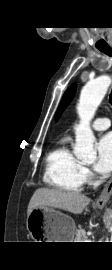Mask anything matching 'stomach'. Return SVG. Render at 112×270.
Masks as SVG:
<instances>
[{"mask_svg":"<svg viewBox=\"0 0 112 270\" xmlns=\"http://www.w3.org/2000/svg\"><path fill=\"white\" fill-rule=\"evenodd\" d=\"M26 226L35 242H73L74 220L53 208L33 209L27 217Z\"/></svg>","mask_w":112,"mask_h":270,"instance_id":"1","label":"stomach"}]
</instances>
